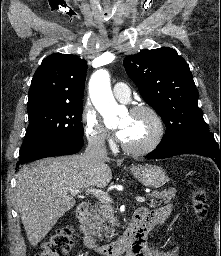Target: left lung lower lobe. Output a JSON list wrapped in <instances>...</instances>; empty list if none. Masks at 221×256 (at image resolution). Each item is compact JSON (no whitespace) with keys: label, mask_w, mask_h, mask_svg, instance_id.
<instances>
[{"label":"left lung lower lobe","mask_w":221,"mask_h":256,"mask_svg":"<svg viewBox=\"0 0 221 256\" xmlns=\"http://www.w3.org/2000/svg\"><path fill=\"white\" fill-rule=\"evenodd\" d=\"M180 154H198L209 157L218 164L221 170V141L220 144L217 143L209 131L189 134L170 141L162 140L146 158L162 159Z\"/></svg>","instance_id":"1"}]
</instances>
